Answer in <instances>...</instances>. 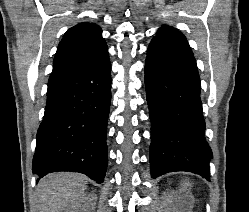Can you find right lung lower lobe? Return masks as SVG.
<instances>
[{
	"label": "right lung lower lobe",
	"instance_id": "1",
	"mask_svg": "<svg viewBox=\"0 0 249 212\" xmlns=\"http://www.w3.org/2000/svg\"><path fill=\"white\" fill-rule=\"evenodd\" d=\"M110 101L109 55L86 69L50 80L33 173L41 178L56 171L80 172L102 183Z\"/></svg>",
	"mask_w": 249,
	"mask_h": 212
}]
</instances>
